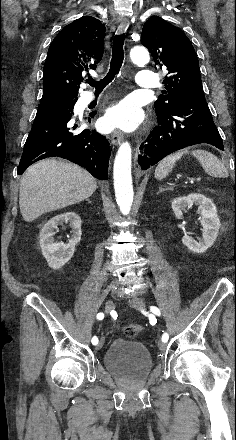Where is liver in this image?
Segmentation results:
<instances>
[{
	"label": "liver",
	"mask_w": 236,
	"mask_h": 440,
	"mask_svg": "<svg viewBox=\"0 0 236 440\" xmlns=\"http://www.w3.org/2000/svg\"><path fill=\"white\" fill-rule=\"evenodd\" d=\"M96 188L95 179L77 165L43 160L31 166L21 179L20 212L26 222H32L42 214L87 199Z\"/></svg>",
	"instance_id": "liver-1"
}]
</instances>
